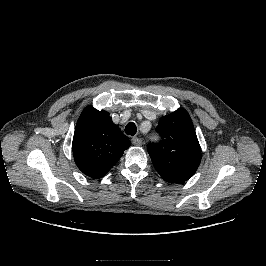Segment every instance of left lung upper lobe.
Instances as JSON below:
<instances>
[{
    "instance_id": "5c2ea615",
    "label": "left lung upper lobe",
    "mask_w": 266,
    "mask_h": 266,
    "mask_svg": "<svg viewBox=\"0 0 266 266\" xmlns=\"http://www.w3.org/2000/svg\"><path fill=\"white\" fill-rule=\"evenodd\" d=\"M157 131L161 140L148 144V153L157 172L170 183L190 179L200 164L201 147L188 112L179 108L161 117Z\"/></svg>"
}]
</instances>
